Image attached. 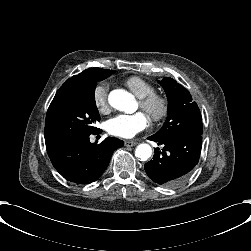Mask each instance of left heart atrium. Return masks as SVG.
Instances as JSON below:
<instances>
[{
    "label": "left heart atrium",
    "mask_w": 251,
    "mask_h": 251,
    "mask_svg": "<svg viewBox=\"0 0 251 251\" xmlns=\"http://www.w3.org/2000/svg\"><path fill=\"white\" fill-rule=\"evenodd\" d=\"M149 122V116L143 111L122 113L109 119L106 129L111 135L130 138L145 129Z\"/></svg>",
    "instance_id": "left-heart-atrium-1"
}]
</instances>
